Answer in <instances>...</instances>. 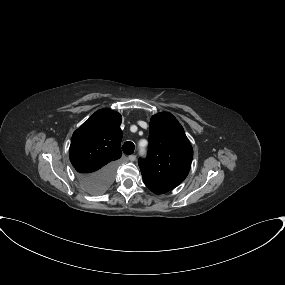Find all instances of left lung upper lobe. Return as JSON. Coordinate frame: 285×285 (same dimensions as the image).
Instances as JSON below:
<instances>
[{"instance_id": "obj_1", "label": "left lung upper lobe", "mask_w": 285, "mask_h": 285, "mask_svg": "<svg viewBox=\"0 0 285 285\" xmlns=\"http://www.w3.org/2000/svg\"><path fill=\"white\" fill-rule=\"evenodd\" d=\"M192 146L178 120L170 113L151 118L147 158L139 159L145 185L155 194L173 190L188 175Z\"/></svg>"}]
</instances>
